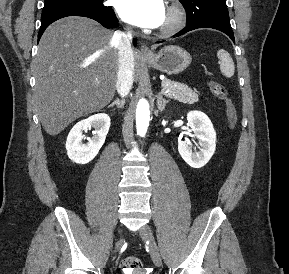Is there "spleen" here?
Returning a JSON list of instances; mask_svg holds the SVG:
<instances>
[{"label": "spleen", "instance_id": "spleen-1", "mask_svg": "<svg viewBox=\"0 0 289 274\" xmlns=\"http://www.w3.org/2000/svg\"><path fill=\"white\" fill-rule=\"evenodd\" d=\"M218 59L220 60V71L225 77H232L234 75L235 66L234 62L228 52L220 49L217 52Z\"/></svg>", "mask_w": 289, "mask_h": 274}]
</instances>
